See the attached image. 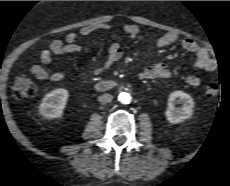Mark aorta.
I'll return each mask as SVG.
<instances>
[{
  "mask_svg": "<svg viewBox=\"0 0 230 186\" xmlns=\"http://www.w3.org/2000/svg\"><path fill=\"white\" fill-rule=\"evenodd\" d=\"M118 100L123 103V104H129L132 100V97L129 93L127 92H121L119 95H118Z\"/></svg>",
  "mask_w": 230,
  "mask_h": 186,
  "instance_id": "762f6f07",
  "label": "aorta"
}]
</instances>
